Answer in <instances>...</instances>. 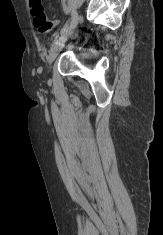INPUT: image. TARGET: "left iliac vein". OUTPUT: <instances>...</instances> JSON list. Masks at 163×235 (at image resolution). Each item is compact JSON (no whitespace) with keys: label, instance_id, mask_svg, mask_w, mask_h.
Returning a JSON list of instances; mask_svg holds the SVG:
<instances>
[{"label":"left iliac vein","instance_id":"1","mask_svg":"<svg viewBox=\"0 0 163 235\" xmlns=\"http://www.w3.org/2000/svg\"><path fill=\"white\" fill-rule=\"evenodd\" d=\"M66 42V37L63 39H59L55 45L52 47L51 51H50V55L48 58V64L51 67V65L53 64L54 60L56 59V57L58 56V54L60 53V51L63 49L64 45Z\"/></svg>","mask_w":163,"mask_h":235}]
</instances>
